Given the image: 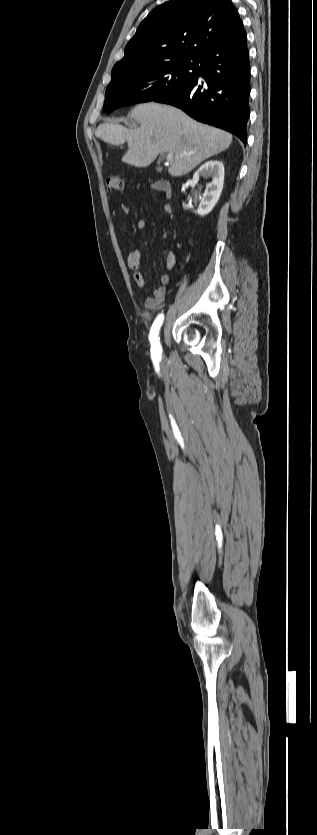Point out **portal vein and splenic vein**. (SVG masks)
I'll return each mask as SVG.
<instances>
[{"label": "portal vein and splenic vein", "mask_w": 317, "mask_h": 835, "mask_svg": "<svg viewBox=\"0 0 317 835\" xmlns=\"http://www.w3.org/2000/svg\"><path fill=\"white\" fill-rule=\"evenodd\" d=\"M166 158H167V160H168V161H169V160H171V159L173 158V154H172V153H168V154H167V156H166Z\"/></svg>", "instance_id": "obj_1"}]
</instances>
